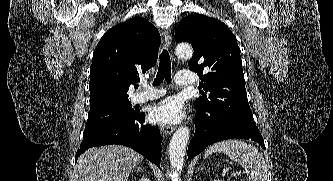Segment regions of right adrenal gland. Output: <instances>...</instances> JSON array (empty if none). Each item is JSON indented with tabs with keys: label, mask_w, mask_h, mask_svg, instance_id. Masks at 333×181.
Returning <instances> with one entry per match:
<instances>
[{
	"label": "right adrenal gland",
	"mask_w": 333,
	"mask_h": 181,
	"mask_svg": "<svg viewBox=\"0 0 333 181\" xmlns=\"http://www.w3.org/2000/svg\"><path fill=\"white\" fill-rule=\"evenodd\" d=\"M141 170H142V168L139 167V168H138V171H141Z\"/></svg>",
	"instance_id": "obj_1"
}]
</instances>
